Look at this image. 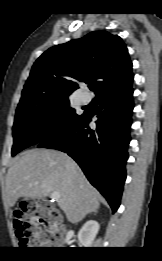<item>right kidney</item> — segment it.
<instances>
[{"mask_svg":"<svg viewBox=\"0 0 162 261\" xmlns=\"http://www.w3.org/2000/svg\"><path fill=\"white\" fill-rule=\"evenodd\" d=\"M100 225L95 220L87 221L78 232V240L84 247H90L99 231Z\"/></svg>","mask_w":162,"mask_h":261,"instance_id":"ca27d5eb","label":"right kidney"}]
</instances>
